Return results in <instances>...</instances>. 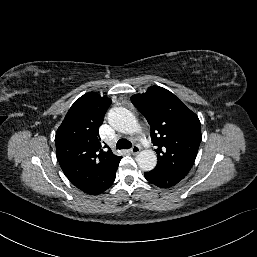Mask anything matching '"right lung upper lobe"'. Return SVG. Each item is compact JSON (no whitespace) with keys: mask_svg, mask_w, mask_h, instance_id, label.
<instances>
[{"mask_svg":"<svg viewBox=\"0 0 257 257\" xmlns=\"http://www.w3.org/2000/svg\"><path fill=\"white\" fill-rule=\"evenodd\" d=\"M110 98L89 92L69 109L55 136L56 156L66 177L91 195L107 190L115 180L121 157L100 142L98 129Z\"/></svg>","mask_w":257,"mask_h":257,"instance_id":"right-lung-upper-lobe-1","label":"right lung upper lobe"}]
</instances>
